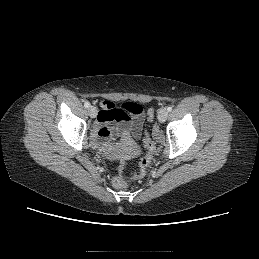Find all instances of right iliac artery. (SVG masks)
Returning <instances> with one entry per match:
<instances>
[{"mask_svg": "<svg viewBox=\"0 0 259 259\" xmlns=\"http://www.w3.org/2000/svg\"><path fill=\"white\" fill-rule=\"evenodd\" d=\"M84 106H85L86 108H89V107H90V103H89L88 101H86V102L84 103Z\"/></svg>", "mask_w": 259, "mask_h": 259, "instance_id": "82829eb1", "label": "right iliac artery"}]
</instances>
